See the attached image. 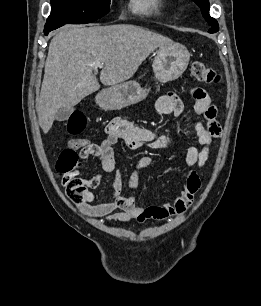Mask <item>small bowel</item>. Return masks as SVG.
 I'll return each instance as SVG.
<instances>
[{"label":"small bowel","instance_id":"obj_1","mask_svg":"<svg viewBox=\"0 0 261 306\" xmlns=\"http://www.w3.org/2000/svg\"><path fill=\"white\" fill-rule=\"evenodd\" d=\"M193 111L196 116L194 132L200 148L189 145L183 154V162L187 169L186 183L173 203L161 205L140 206L133 197L122 194V175L117 171L113 183L112 199L107 202H95L96 196L92 188L98 184L99 179L94 177L85 181L87 186L83 192V200L79 203L80 210L95 218H105L107 221L128 222L137 220L144 222L149 219L166 220L169 217L184 214L193 204L194 196L200 188L198 169L209 157L210 147L214 138L222 135L220 124L216 121L217 109L205 91L195 89ZM156 110L160 114L180 116L184 112V103L179 96L168 93L158 98ZM106 138L100 144L101 154L98 156L104 172L111 173L116 170L114 145L123 140L130 150H137L148 146L151 148H165L172 145L174 139L168 134H159L155 130L134 125L124 119H115L106 127ZM83 158H88L81 152ZM152 159L149 156L140 158L132 172L128 185L131 189L138 186L140 172L149 166Z\"/></svg>","mask_w":261,"mask_h":306}]
</instances>
